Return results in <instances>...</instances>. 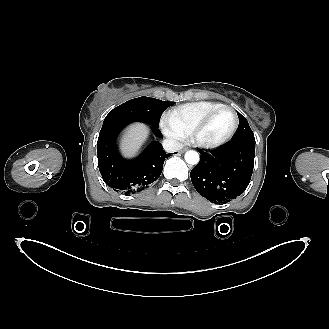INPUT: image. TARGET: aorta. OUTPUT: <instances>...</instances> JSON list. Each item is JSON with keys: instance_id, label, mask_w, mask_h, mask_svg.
I'll list each match as a JSON object with an SVG mask.
<instances>
[{"instance_id": "1", "label": "aorta", "mask_w": 329, "mask_h": 329, "mask_svg": "<svg viewBox=\"0 0 329 329\" xmlns=\"http://www.w3.org/2000/svg\"><path fill=\"white\" fill-rule=\"evenodd\" d=\"M185 161L188 163V164H191V165H196L198 164L199 162V154L198 152L194 151V150H189L185 153Z\"/></svg>"}]
</instances>
